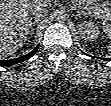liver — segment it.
Segmentation results:
<instances>
[{
	"mask_svg": "<svg viewBox=\"0 0 111 106\" xmlns=\"http://www.w3.org/2000/svg\"><path fill=\"white\" fill-rule=\"evenodd\" d=\"M46 6L42 0H1L0 1V55L7 57L23 46L32 25V9Z\"/></svg>",
	"mask_w": 111,
	"mask_h": 106,
	"instance_id": "6515ba94",
	"label": "liver"
}]
</instances>
